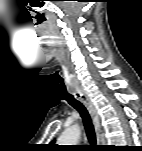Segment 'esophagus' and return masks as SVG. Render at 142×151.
Returning <instances> with one entry per match:
<instances>
[{"label":"esophagus","instance_id":"esophagus-1","mask_svg":"<svg viewBox=\"0 0 142 151\" xmlns=\"http://www.w3.org/2000/svg\"><path fill=\"white\" fill-rule=\"evenodd\" d=\"M74 94L80 99V101L85 105V107L89 111V113L93 119V122L95 124V127L97 129V132H98V141L100 142L101 141L100 140V134H99L100 133V123H99V117L97 115V112H96L94 105L92 104V102L88 98L85 91L80 86L75 87Z\"/></svg>","mask_w":142,"mask_h":151}]
</instances>
